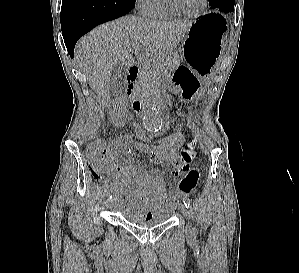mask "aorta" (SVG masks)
I'll use <instances>...</instances> for the list:
<instances>
[{
	"mask_svg": "<svg viewBox=\"0 0 299 273\" xmlns=\"http://www.w3.org/2000/svg\"><path fill=\"white\" fill-rule=\"evenodd\" d=\"M143 126L150 132H158L162 126V120L157 107L150 104L143 114Z\"/></svg>",
	"mask_w": 299,
	"mask_h": 273,
	"instance_id": "obj_1",
	"label": "aorta"
}]
</instances>
